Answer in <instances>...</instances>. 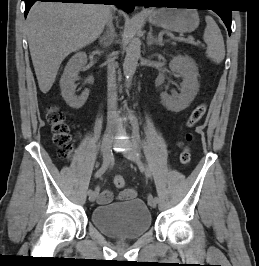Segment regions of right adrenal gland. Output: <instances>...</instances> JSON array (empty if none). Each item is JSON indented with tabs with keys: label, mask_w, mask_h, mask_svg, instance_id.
Listing matches in <instances>:
<instances>
[{
	"label": "right adrenal gland",
	"mask_w": 259,
	"mask_h": 266,
	"mask_svg": "<svg viewBox=\"0 0 259 266\" xmlns=\"http://www.w3.org/2000/svg\"><path fill=\"white\" fill-rule=\"evenodd\" d=\"M112 41L111 29L99 38L100 45L107 46Z\"/></svg>",
	"instance_id": "right-adrenal-gland-1"
}]
</instances>
